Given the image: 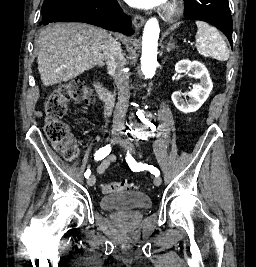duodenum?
I'll list each match as a JSON object with an SVG mask.
<instances>
[{
	"label": "duodenum",
	"mask_w": 256,
	"mask_h": 267,
	"mask_svg": "<svg viewBox=\"0 0 256 267\" xmlns=\"http://www.w3.org/2000/svg\"><path fill=\"white\" fill-rule=\"evenodd\" d=\"M95 87L97 89L100 100L105 105V114L110 115L113 105V95L107 90L105 84L101 80L95 81Z\"/></svg>",
	"instance_id": "410a0bca"
}]
</instances>
